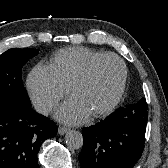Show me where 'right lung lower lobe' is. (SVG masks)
<instances>
[{
	"mask_svg": "<svg viewBox=\"0 0 168 168\" xmlns=\"http://www.w3.org/2000/svg\"><path fill=\"white\" fill-rule=\"evenodd\" d=\"M57 126L30 106L0 100V168H39L42 142Z\"/></svg>",
	"mask_w": 168,
	"mask_h": 168,
	"instance_id": "1",
	"label": "right lung lower lobe"
}]
</instances>
